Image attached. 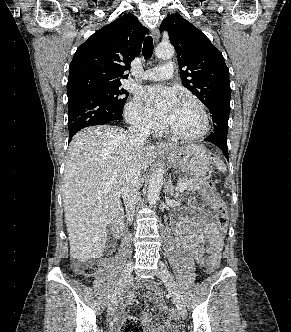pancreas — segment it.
I'll use <instances>...</instances> for the list:
<instances>
[{"label": "pancreas", "instance_id": "cf45deb5", "mask_svg": "<svg viewBox=\"0 0 291 332\" xmlns=\"http://www.w3.org/2000/svg\"><path fill=\"white\" fill-rule=\"evenodd\" d=\"M186 183V190L188 192H195L196 190H200L202 186L207 183V178H182L179 180L175 190L178 191L180 184Z\"/></svg>", "mask_w": 291, "mask_h": 332}]
</instances>
